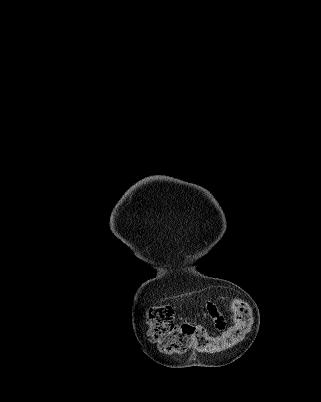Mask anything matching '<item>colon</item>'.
Masks as SVG:
<instances>
[{"mask_svg":"<svg viewBox=\"0 0 321 402\" xmlns=\"http://www.w3.org/2000/svg\"><path fill=\"white\" fill-rule=\"evenodd\" d=\"M231 313L233 324L222 333L212 334L202 325L176 323L171 306H156L148 312V336L165 353L180 354L193 349L220 352L236 344L252 324V313L245 301L234 299Z\"/></svg>","mask_w":321,"mask_h":402,"instance_id":"5ec220e1","label":"colon"}]
</instances>
